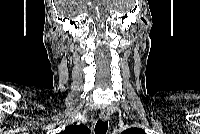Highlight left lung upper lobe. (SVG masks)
I'll return each mask as SVG.
<instances>
[{
    "instance_id": "5c2ea615",
    "label": "left lung upper lobe",
    "mask_w": 200,
    "mask_h": 134,
    "mask_svg": "<svg viewBox=\"0 0 200 134\" xmlns=\"http://www.w3.org/2000/svg\"><path fill=\"white\" fill-rule=\"evenodd\" d=\"M122 134H145V132L139 128H132L124 131Z\"/></svg>"
}]
</instances>
